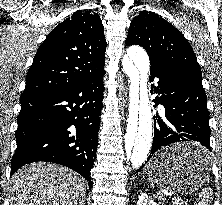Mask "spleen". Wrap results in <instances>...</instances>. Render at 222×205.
I'll list each match as a JSON object with an SVG mask.
<instances>
[{
    "label": "spleen",
    "mask_w": 222,
    "mask_h": 205,
    "mask_svg": "<svg viewBox=\"0 0 222 205\" xmlns=\"http://www.w3.org/2000/svg\"><path fill=\"white\" fill-rule=\"evenodd\" d=\"M211 190L206 188L203 189L202 192L199 194V199H200V205H208L211 202ZM161 198V196H160Z\"/></svg>",
    "instance_id": "spleen-1"
}]
</instances>
